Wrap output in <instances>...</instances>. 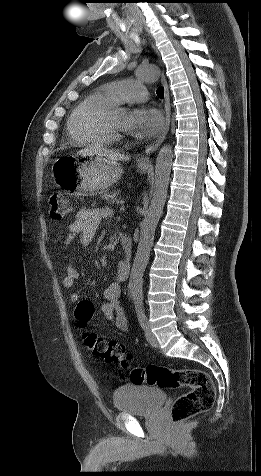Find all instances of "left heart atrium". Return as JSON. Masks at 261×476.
I'll return each mask as SVG.
<instances>
[{"label": "left heart atrium", "mask_w": 261, "mask_h": 476, "mask_svg": "<svg viewBox=\"0 0 261 476\" xmlns=\"http://www.w3.org/2000/svg\"><path fill=\"white\" fill-rule=\"evenodd\" d=\"M163 124L161 113L154 108L133 109L125 120V130L140 138L156 134Z\"/></svg>", "instance_id": "obj_1"}]
</instances>
